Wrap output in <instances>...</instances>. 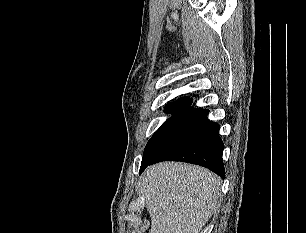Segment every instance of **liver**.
I'll return each instance as SVG.
<instances>
[{
    "instance_id": "obj_1",
    "label": "liver",
    "mask_w": 306,
    "mask_h": 233,
    "mask_svg": "<svg viewBox=\"0 0 306 233\" xmlns=\"http://www.w3.org/2000/svg\"><path fill=\"white\" fill-rule=\"evenodd\" d=\"M220 178L178 162L148 167L140 179L151 217L149 233H200L218 209Z\"/></svg>"
}]
</instances>
